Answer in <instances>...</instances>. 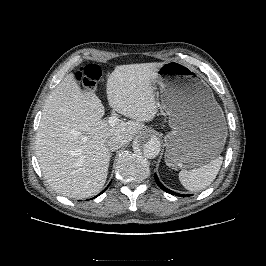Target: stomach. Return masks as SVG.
I'll return each mask as SVG.
<instances>
[{
	"label": "stomach",
	"mask_w": 266,
	"mask_h": 266,
	"mask_svg": "<svg viewBox=\"0 0 266 266\" xmlns=\"http://www.w3.org/2000/svg\"><path fill=\"white\" fill-rule=\"evenodd\" d=\"M154 86L172 131L165 137V162L174 169L205 165L223 150L227 126L213 92L199 73L179 62H165Z\"/></svg>",
	"instance_id": "0dacf381"
}]
</instances>
